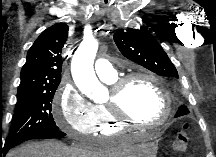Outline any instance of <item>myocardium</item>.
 <instances>
[{
	"label": "myocardium",
	"instance_id": "f54148a6",
	"mask_svg": "<svg viewBox=\"0 0 216 157\" xmlns=\"http://www.w3.org/2000/svg\"><path fill=\"white\" fill-rule=\"evenodd\" d=\"M134 79H145L153 83L161 92L164 100V112L162 117L155 122L142 121L131 116L125 109L124 93L127 85ZM105 105L112 117L119 123L134 127H160L168 122L172 113L171 96L165 85L155 76L137 71L116 79L110 87V95Z\"/></svg>",
	"mask_w": 216,
	"mask_h": 157
}]
</instances>
